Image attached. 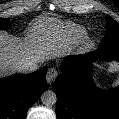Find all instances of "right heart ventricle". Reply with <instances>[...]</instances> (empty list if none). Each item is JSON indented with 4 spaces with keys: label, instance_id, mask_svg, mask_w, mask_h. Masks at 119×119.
Masks as SVG:
<instances>
[{
    "label": "right heart ventricle",
    "instance_id": "right-heart-ventricle-1",
    "mask_svg": "<svg viewBox=\"0 0 119 119\" xmlns=\"http://www.w3.org/2000/svg\"><path fill=\"white\" fill-rule=\"evenodd\" d=\"M67 35L71 42H77L85 36V30L77 25H69L67 27Z\"/></svg>",
    "mask_w": 119,
    "mask_h": 119
}]
</instances>
